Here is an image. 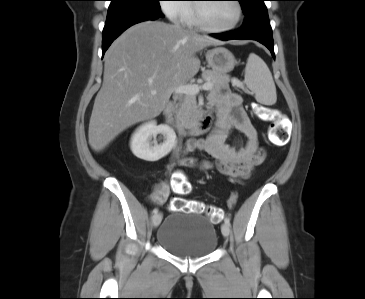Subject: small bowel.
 Instances as JSON below:
<instances>
[{
  "label": "small bowel",
  "mask_w": 365,
  "mask_h": 299,
  "mask_svg": "<svg viewBox=\"0 0 365 299\" xmlns=\"http://www.w3.org/2000/svg\"><path fill=\"white\" fill-rule=\"evenodd\" d=\"M212 103L217 107L216 126L212 133L204 139H191L185 146V152L200 150L215 160L219 172L231 178L247 179L266 157L265 150L260 147L256 128L251 123L242 108V98L234 92L224 94L214 91L210 95ZM235 128L246 137V143L240 147H233L225 142L227 132ZM181 162L187 166L197 165L191 158H182ZM173 163L168 165V169ZM200 168L208 170L212 164L208 161L200 163ZM170 194L169 185L160 182L151 199L156 204L164 203Z\"/></svg>",
  "instance_id": "1"
}]
</instances>
